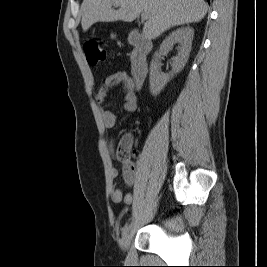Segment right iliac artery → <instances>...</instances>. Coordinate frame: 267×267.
I'll return each instance as SVG.
<instances>
[{
    "instance_id": "1",
    "label": "right iliac artery",
    "mask_w": 267,
    "mask_h": 267,
    "mask_svg": "<svg viewBox=\"0 0 267 267\" xmlns=\"http://www.w3.org/2000/svg\"><path fill=\"white\" fill-rule=\"evenodd\" d=\"M129 228H130V225H128V224L124 226V228L122 230V235L123 236L128 232Z\"/></svg>"
}]
</instances>
